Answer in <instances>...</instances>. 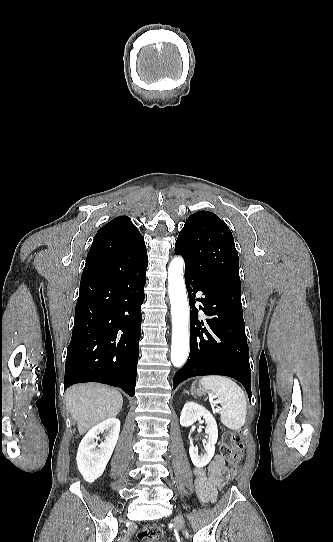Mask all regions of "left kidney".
<instances>
[{"label":"left kidney","mask_w":333,"mask_h":542,"mask_svg":"<svg viewBox=\"0 0 333 542\" xmlns=\"http://www.w3.org/2000/svg\"><path fill=\"white\" fill-rule=\"evenodd\" d=\"M201 416L205 418V434H208V442L206 446H204L205 454H203V456H198L197 448L190 442L189 454L196 468H204V466H207L215 454V444L218 440L216 420L206 408L199 406V404H195V402H186L180 416V424L183 428L192 426V424H194L196 420H199Z\"/></svg>","instance_id":"1"}]
</instances>
